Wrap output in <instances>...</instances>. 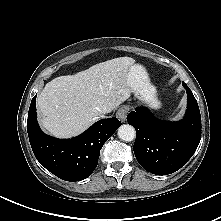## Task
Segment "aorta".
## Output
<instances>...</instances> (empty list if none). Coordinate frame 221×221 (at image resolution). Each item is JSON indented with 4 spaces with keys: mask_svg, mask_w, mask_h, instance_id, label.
<instances>
[{
    "mask_svg": "<svg viewBox=\"0 0 221 221\" xmlns=\"http://www.w3.org/2000/svg\"><path fill=\"white\" fill-rule=\"evenodd\" d=\"M136 136V132L133 126L129 124L121 125L118 129V137L123 141H133Z\"/></svg>",
    "mask_w": 221,
    "mask_h": 221,
    "instance_id": "obj_1",
    "label": "aorta"
}]
</instances>
